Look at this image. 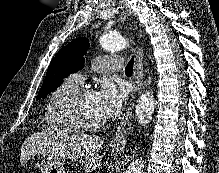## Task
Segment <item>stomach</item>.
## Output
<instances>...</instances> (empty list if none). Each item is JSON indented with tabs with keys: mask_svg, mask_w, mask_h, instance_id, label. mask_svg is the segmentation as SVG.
<instances>
[{
	"mask_svg": "<svg viewBox=\"0 0 219 173\" xmlns=\"http://www.w3.org/2000/svg\"><path fill=\"white\" fill-rule=\"evenodd\" d=\"M40 170L41 173H68L64 167L62 158L55 154H49L42 158Z\"/></svg>",
	"mask_w": 219,
	"mask_h": 173,
	"instance_id": "1",
	"label": "stomach"
}]
</instances>
